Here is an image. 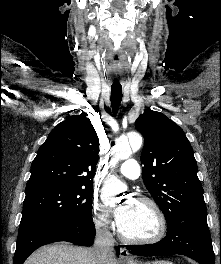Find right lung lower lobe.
<instances>
[{
	"mask_svg": "<svg viewBox=\"0 0 221 264\" xmlns=\"http://www.w3.org/2000/svg\"><path fill=\"white\" fill-rule=\"evenodd\" d=\"M95 238L93 220L87 222H27L20 225L14 264H23L37 248L58 241L91 246ZM119 255V248L116 249Z\"/></svg>",
	"mask_w": 221,
	"mask_h": 264,
	"instance_id": "obj_1",
	"label": "right lung lower lobe"
}]
</instances>
